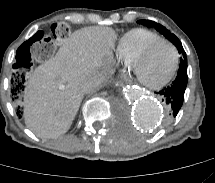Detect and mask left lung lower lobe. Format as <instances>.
<instances>
[{
  "label": "left lung lower lobe",
  "mask_w": 215,
  "mask_h": 183,
  "mask_svg": "<svg viewBox=\"0 0 215 183\" xmlns=\"http://www.w3.org/2000/svg\"><path fill=\"white\" fill-rule=\"evenodd\" d=\"M187 82V61H182L179 66L176 79L170 86L158 92L162 98V101H164L167 105L168 119H172L178 114L183 104Z\"/></svg>",
  "instance_id": "1"
}]
</instances>
